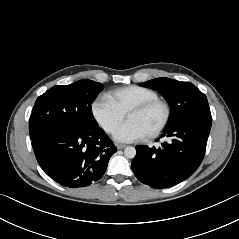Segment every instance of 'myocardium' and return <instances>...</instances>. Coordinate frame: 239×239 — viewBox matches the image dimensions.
<instances>
[{
	"mask_svg": "<svg viewBox=\"0 0 239 239\" xmlns=\"http://www.w3.org/2000/svg\"><path fill=\"white\" fill-rule=\"evenodd\" d=\"M157 106L162 108L163 117L160 124L151 133L146 135L147 139H153L158 137L167 127L171 117V109L169 104L166 101L157 98V99L149 100L134 106L126 114V116L128 117L130 114L146 112Z\"/></svg>",
	"mask_w": 239,
	"mask_h": 239,
	"instance_id": "obj_1",
	"label": "myocardium"
}]
</instances>
